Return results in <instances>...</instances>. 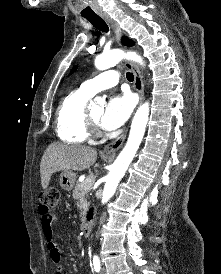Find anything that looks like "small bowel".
Segmentation results:
<instances>
[{"label":"small bowel","instance_id":"c3829d8e","mask_svg":"<svg viewBox=\"0 0 221 274\" xmlns=\"http://www.w3.org/2000/svg\"><path fill=\"white\" fill-rule=\"evenodd\" d=\"M41 230L45 240L46 248L52 261L57 264L55 274H64L62 266L59 265L61 261V250L59 249L53 233V223L56 220V216L51 212L50 207L40 204L38 207Z\"/></svg>","mask_w":221,"mask_h":274}]
</instances>
